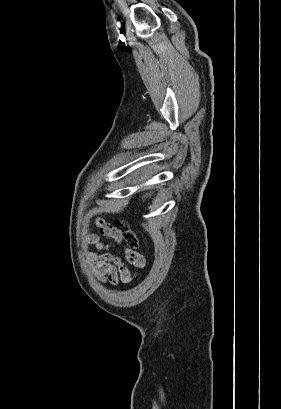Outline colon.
Masks as SVG:
<instances>
[{
    "mask_svg": "<svg viewBox=\"0 0 281 409\" xmlns=\"http://www.w3.org/2000/svg\"><path fill=\"white\" fill-rule=\"evenodd\" d=\"M119 227L121 229H125V225L120 223ZM122 241L124 242L126 249H136L138 245V241L136 236L129 232V231H123L122 232Z\"/></svg>",
    "mask_w": 281,
    "mask_h": 409,
    "instance_id": "colon-1",
    "label": "colon"
}]
</instances>
